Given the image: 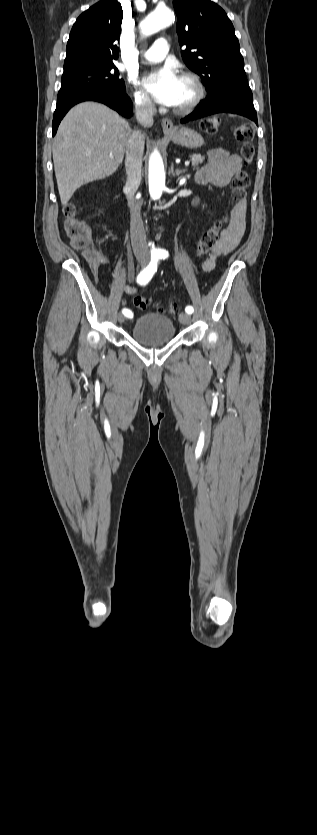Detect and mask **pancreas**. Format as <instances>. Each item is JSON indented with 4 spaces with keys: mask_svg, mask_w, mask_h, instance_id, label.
Segmentation results:
<instances>
[{
    "mask_svg": "<svg viewBox=\"0 0 317 835\" xmlns=\"http://www.w3.org/2000/svg\"><path fill=\"white\" fill-rule=\"evenodd\" d=\"M204 159H205L204 156H202L201 154L191 155V160L193 161L195 166L198 165V164L203 163Z\"/></svg>",
    "mask_w": 317,
    "mask_h": 835,
    "instance_id": "obj_1",
    "label": "pancreas"
}]
</instances>
